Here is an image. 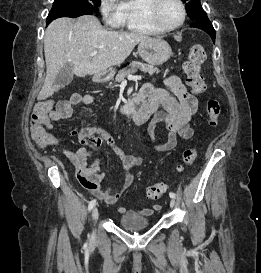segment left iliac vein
<instances>
[{"mask_svg": "<svg viewBox=\"0 0 261 273\" xmlns=\"http://www.w3.org/2000/svg\"><path fill=\"white\" fill-rule=\"evenodd\" d=\"M170 207H175V200L173 198L170 200Z\"/></svg>", "mask_w": 261, "mask_h": 273, "instance_id": "4c4485c4", "label": "left iliac vein"}]
</instances>
